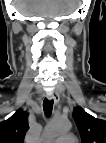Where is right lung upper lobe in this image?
I'll use <instances>...</instances> for the list:
<instances>
[{"label": "right lung upper lobe", "mask_w": 106, "mask_h": 143, "mask_svg": "<svg viewBox=\"0 0 106 143\" xmlns=\"http://www.w3.org/2000/svg\"><path fill=\"white\" fill-rule=\"evenodd\" d=\"M28 129V113L19 109L0 122V143H23Z\"/></svg>", "instance_id": "cb5924a9"}]
</instances>
